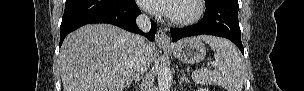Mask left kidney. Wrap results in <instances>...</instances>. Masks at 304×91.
<instances>
[{
  "instance_id": "5707ae66",
  "label": "left kidney",
  "mask_w": 304,
  "mask_h": 91,
  "mask_svg": "<svg viewBox=\"0 0 304 91\" xmlns=\"http://www.w3.org/2000/svg\"><path fill=\"white\" fill-rule=\"evenodd\" d=\"M198 91H208L206 88H200Z\"/></svg>"
}]
</instances>
